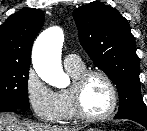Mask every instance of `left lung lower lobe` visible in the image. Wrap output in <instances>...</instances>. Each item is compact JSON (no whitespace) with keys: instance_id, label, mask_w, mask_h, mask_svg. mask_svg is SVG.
I'll list each match as a JSON object with an SVG mask.
<instances>
[{"instance_id":"left-lung-lower-lobe-1","label":"left lung lower lobe","mask_w":147,"mask_h":131,"mask_svg":"<svg viewBox=\"0 0 147 131\" xmlns=\"http://www.w3.org/2000/svg\"><path fill=\"white\" fill-rule=\"evenodd\" d=\"M115 119H121V118L115 117ZM122 119H129V120L135 121V122L143 125L147 129V121H145V120L136 119V118H122Z\"/></svg>"}]
</instances>
